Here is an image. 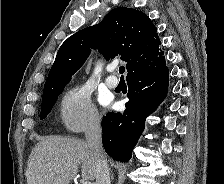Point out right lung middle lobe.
Masks as SVG:
<instances>
[{
	"label": "right lung middle lobe",
	"instance_id": "dd1d6c3e",
	"mask_svg": "<svg viewBox=\"0 0 224 184\" xmlns=\"http://www.w3.org/2000/svg\"><path fill=\"white\" fill-rule=\"evenodd\" d=\"M62 90H63V88L56 92H53L46 96H43L40 119L46 118V116L50 113V111L52 110V107L54 106V104L58 98V95L62 92Z\"/></svg>",
	"mask_w": 224,
	"mask_h": 184
}]
</instances>
